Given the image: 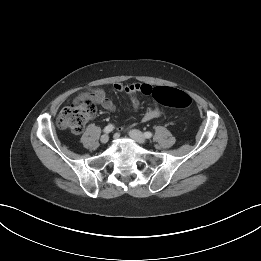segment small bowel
<instances>
[{
	"instance_id": "small-bowel-1",
	"label": "small bowel",
	"mask_w": 261,
	"mask_h": 261,
	"mask_svg": "<svg viewBox=\"0 0 261 261\" xmlns=\"http://www.w3.org/2000/svg\"><path fill=\"white\" fill-rule=\"evenodd\" d=\"M115 90L119 92L127 93L131 96L132 106L135 110H137L140 106V102L137 98L138 94L150 95L152 94L153 87L146 83H116L114 85ZM84 100H93L97 103H100L104 109L110 112H116L117 108L113 101L106 96L105 92L100 89H92L85 92L80 93L75 101L80 102ZM161 115V110L157 107L148 108L143 114L142 121L146 122L152 119H155Z\"/></svg>"
}]
</instances>
